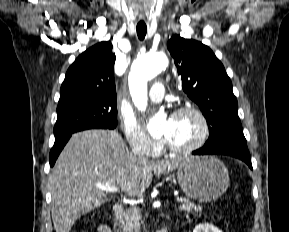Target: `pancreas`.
I'll list each match as a JSON object with an SVG mask.
<instances>
[{"mask_svg":"<svg viewBox=\"0 0 289 232\" xmlns=\"http://www.w3.org/2000/svg\"><path fill=\"white\" fill-rule=\"evenodd\" d=\"M179 209L187 213L192 212L194 209L196 212L201 211L200 206H195L192 203H184ZM141 226V211L138 207H132L124 212L121 220V228L124 232H139Z\"/></svg>","mask_w":289,"mask_h":232,"instance_id":"1","label":"pancreas"}]
</instances>
